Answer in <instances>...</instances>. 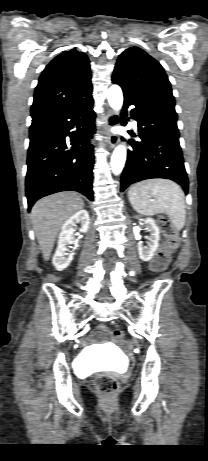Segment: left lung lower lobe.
Here are the masks:
<instances>
[{
    "mask_svg": "<svg viewBox=\"0 0 208 461\" xmlns=\"http://www.w3.org/2000/svg\"><path fill=\"white\" fill-rule=\"evenodd\" d=\"M130 105L135 106L131 115L137 120L141 141L129 140L130 150L121 175V191L138 181L165 178L177 182L188 193V177L179 144L175 108L139 102L124 95L122 115Z\"/></svg>",
    "mask_w": 208,
    "mask_h": 461,
    "instance_id": "left-lung-lower-lobe-1",
    "label": "left lung lower lobe"
}]
</instances>
